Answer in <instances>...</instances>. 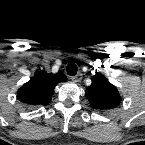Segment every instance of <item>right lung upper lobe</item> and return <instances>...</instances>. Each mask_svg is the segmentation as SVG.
<instances>
[{"label":"right lung upper lobe","mask_w":145,"mask_h":145,"mask_svg":"<svg viewBox=\"0 0 145 145\" xmlns=\"http://www.w3.org/2000/svg\"><path fill=\"white\" fill-rule=\"evenodd\" d=\"M67 80L64 74H48L39 72L33 78L19 88L18 99L31 106L47 105L52 98L55 86Z\"/></svg>","instance_id":"cb5924a9"}]
</instances>
